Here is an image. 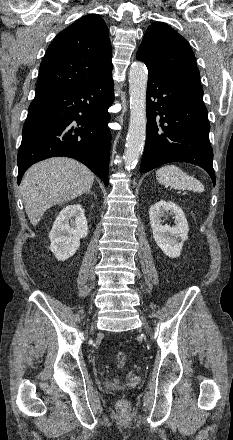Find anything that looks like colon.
Instances as JSON below:
<instances>
[{"label":"colon","mask_w":233,"mask_h":440,"mask_svg":"<svg viewBox=\"0 0 233 440\" xmlns=\"http://www.w3.org/2000/svg\"><path fill=\"white\" fill-rule=\"evenodd\" d=\"M126 361H127V355L124 352L119 351L115 353V362L118 367L120 368L123 367L126 364ZM128 409H129V403L127 400L121 399L118 401L117 410L119 412H126Z\"/></svg>","instance_id":"5ec220e1"}]
</instances>
